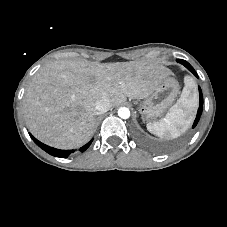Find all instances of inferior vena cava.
Returning <instances> with one entry per match:
<instances>
[{
	"instance_id": "obj_1",
	"label": "inferior vena cava",
	"mask_w": 227,
	"mask_h": 227,
	"mask_svg": "<svg viewBox=\"0 0 227 227\" xmlns=\"http://www.w3.org/2000/svg\"><path fill=\"white\" fill-rule=\"evenodd\" d=\"M111 106V101L108 98L103 97L95 102L94 114H103L107 112L111 108Z\"/></svg>"
}]
</instances>
